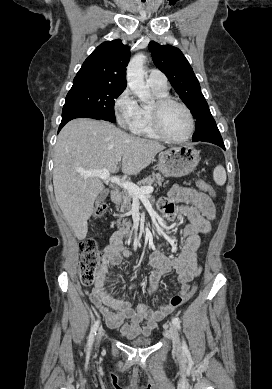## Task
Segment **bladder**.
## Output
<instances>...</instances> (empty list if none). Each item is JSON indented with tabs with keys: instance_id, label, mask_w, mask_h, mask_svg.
<instances>
[{
	"instance_id": "obj_1",
	"label": "bladder",
	"mask_w": 272,
	"mask_h": 389,
	"mask_svg": "<svg viewBox=\"0 0 272 389\" xmlns=\"http://www.w3.org/2000/svg\"><path fill=\"white\" fill-rule=\"evenodd\" d=\"M130 344L134 347H148L152 344V340L151 339H135V340H131L130 341Z\"/></svg>"
}]
</instances>
